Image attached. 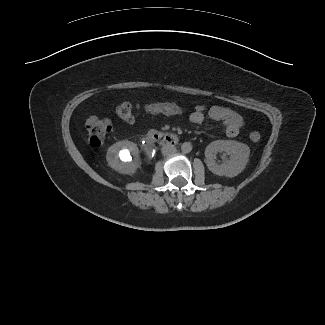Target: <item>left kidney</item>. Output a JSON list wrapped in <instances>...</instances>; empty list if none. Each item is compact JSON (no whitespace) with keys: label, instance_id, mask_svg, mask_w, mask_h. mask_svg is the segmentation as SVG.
Here are the masks:
<instances>
[{"label":"left kidney","instance_id":"1","mask_svg":"<svg viewBox=\"0 0 325 325\" xmlns=\"http://www.w3.org/2000/svg\"><path fill=\"white\" fill-rule=\"evenodd\" d=\"M217 152H225L230 157L222 164L215 161ZM250 155L249 147L233 140H216L205 149L206 165L208 169L219 176L235 177L246 167Z\"/></svg>","mask_w":325,"mask_h":325}]
</instances>
